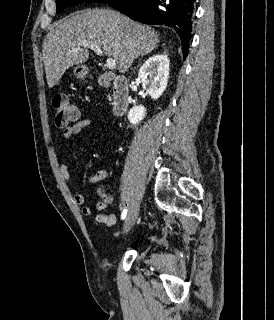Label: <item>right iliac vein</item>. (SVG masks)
Returning <instances> with one entry per match:
<instances>
[{
    "mask_svg": "<svg viewBox=\"0 0 274 320\" xmlns=\"http://www.w3.org/2000/svg\"><path fill=\"white\" fill-rule=\"evenodd\" d=\"M139 214V205L138 204H133L131 206V208L129 209L127 218L124 222L123 225V229H122V233L126 234L129 232V230L132 228V226L134 225L137 217Z\"/></svg>",
    "mask_w": 274,
    "mask_h": 320,
    "instance_id": "63e3f726",
    "label": "right iliac vein"
}]
</instances>
